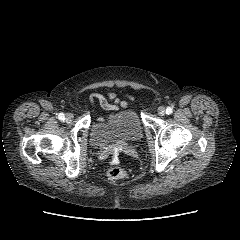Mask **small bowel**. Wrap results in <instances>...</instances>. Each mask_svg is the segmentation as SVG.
I'll return each instance as SVG.
<instances>
[{
	"label": "small bowel",
	"mask_w": 240,
	"mask_h": 240,
	"mask_svg": "<svg viewBox=\"0 0 240 240\" xmlns=\"http://www.w3.org/2000/svg\"><path fill=\"white\" fill-rule=\"evenodd\" d=\"M107 97L114 102L116 106H126L133 100L131 96H118L114 92H108ZM90 100L92 103L97 101L103 107H109L106 97L100 94H91Z\"/></svg>",
	"instance_id": "1"
}]
</instances>
